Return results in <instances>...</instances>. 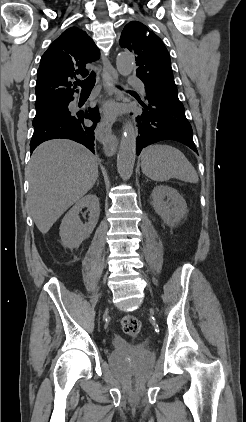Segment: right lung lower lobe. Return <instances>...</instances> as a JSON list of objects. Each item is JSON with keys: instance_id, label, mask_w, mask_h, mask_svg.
<instances>
[{"instance_id": "1", "label": "right lung lower lobe", "mask_w": 246, "mask_h": 422, "mask_svg": "<svg viewBox=\"0 0 246 422\" xmlns=\"http://www.w3.org/2000/svg\"><path fill=\"white\" fill-rule=\"evenodd\" d=\"M72 99L68 100L69 104ZM84 119L93 121V126L84 124ZM100 120L98 108H87L77 113H65L61 116L51 117L34 123V133L30 142L31 153L44 141L65 138L79 142L94 152V129Z\"/></svg>"}]
</instances>
